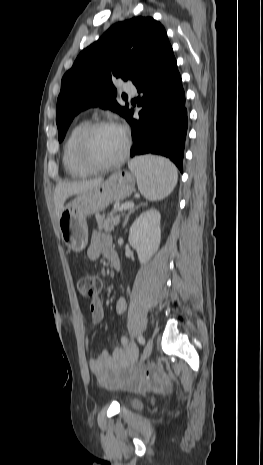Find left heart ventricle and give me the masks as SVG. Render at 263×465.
Wrapping results in <instances>:
<instances>
[{
  "mask_svg": "<svg viewBox=\"0 0 263 465\" xmlns=\"http://www.w3.org/2000/svg\"><path fill=\"white\" fill-rule=\"evenodd\" d=\"M123 146L124 136L119 128H101L89 139V155L97 163H109L120 155Z\"/></svg>",
  "mask_w": 263,
  "mask_h": 465,
  "instance_id": "left-heart-ventricle-1",
  "label": "left heart ventricle"
}]
</instances>
